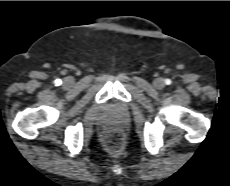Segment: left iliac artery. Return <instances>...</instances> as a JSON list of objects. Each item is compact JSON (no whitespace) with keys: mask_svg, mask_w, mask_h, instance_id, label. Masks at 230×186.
<instances>
[{"mask_svg":"<svg viewBox=\"0 0 230 186\" xmlns=\"http://www.w3.org/2000/svg\"><path fill=\"white\" fill-rule=\"evenodd\" d=\"M165 83H166L167 85H170V84H171V80H170V79H166V80H165Z\"/></svg>","mask_w":230,"mask_h":186,"instance_id":"left-iliac-artery-1","label":"left iliac artery"}]
</instances>
